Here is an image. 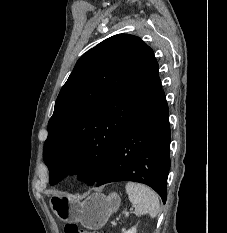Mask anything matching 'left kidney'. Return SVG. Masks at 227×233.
<instances>
[{"mask_svg": "<svg viewBox=\"0 0 227 233\" xmlns=\"http://www.w3.org/2000/svg\"><path fill=\"white\" fill-rule=\"evenodd\" d=\"M123 233H137L136 226L132 227L131 229L124 231Z\"/></svg>", "mask_w": 227, "mask_h": 233, "instance_id": "obj_1", "label": "left kidney"}]
</instances>
